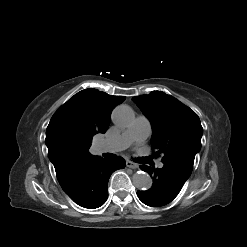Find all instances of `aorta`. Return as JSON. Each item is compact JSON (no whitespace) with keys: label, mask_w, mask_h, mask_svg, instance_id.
I'll use <instances>...</instances> for the list:
<instances>
[{"label":"aorta","mask_w":247,"mask_h":247,"mask_svg":"<svg viewBox=\"0 0 247 247\" xmlns=\"http://www.w3.org/2000/svg\"><path fill=\"white\" fill-rule=\"evenodd\" d=\"M112 120L118 127H129L134 120V112L127 105H119L113 110ZM132 182L139 190H147L152 186V179L145 172L135 173L133 175Z\"/></svg>","instance_id":"obj_1"}]
</instances>
